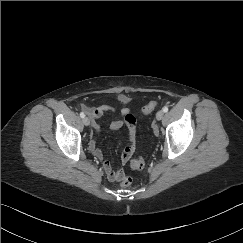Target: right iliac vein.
Instances as JSON below:
<instances>
[{"mask_svg":"<svg viewBox=\"0 0 243 243\" xmlns=\"http://www.w3.org/2000/svg\"><path fill=\"white\" fill-rule=\"evenodd\" d=\"M83 123H84L85 126H89L90 125V119L88 117H84Z\"/></svg>","mask_w":243,"mask_h":243,"instance_id":"right-iliac-vein-1","label":"right iliac vein"}]
</instances>
